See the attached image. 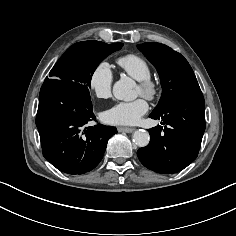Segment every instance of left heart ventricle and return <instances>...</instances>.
I'll return each instance as SVG.
<instances>
[{
  "label": "left heart ventricle",
  "instance_id": "obj_1",
  "mask_svg": "<svg viewBox=\"0 0 236 236\" xmlns=\"http://www.w3.org/2000/svg\"><path fill=\"white\" fill-rule=\"evenodd\" d=\"M137 94H141V90H140L139 86H137Z\"/></svg>",
  "mask_w": 236,
  "mask_h": 236
}]
</instances>
